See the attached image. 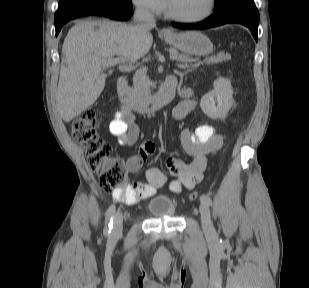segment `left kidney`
I'll return each mask as SVG.
<instances>
[{
    "label": "left kidney",
    "instance_id": "left-kidney-1",
    "mask_svg": "<svg viewBox=\"0 0 309 288\" xmlns=\"http://www.w3.org/2000/svg\"><path fill=\"white\" fill-rule=\"evenodd\" d=\"M214 89L200 101L202 111L210 118L224 119L233 105V89L230 82L219 77L213 83Z\"/></svg>",
    "mask_w": 309,
    "mask_h": 288
}]
</instances>
